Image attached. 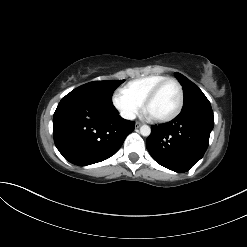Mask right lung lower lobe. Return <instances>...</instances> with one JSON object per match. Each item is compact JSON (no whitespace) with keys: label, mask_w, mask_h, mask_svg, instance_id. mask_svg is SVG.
Instances as JSON below:
<instances>
[{"label":"right lung lower lobe","mask_w":247,"mask_h":247,"mask_svg":"<svg viewBox=\"0 0 247 247\" xmlns=\"http://www.w3.org/2000/svg\"><path fill=\"white\" fill-rule=\"evenodd\" d=\"M134 126L113 104L65 96L53 117L54 142L67 161L86 166L115 154Z\"/></svg>","instance_id":"obj_1"}]
</instances>
